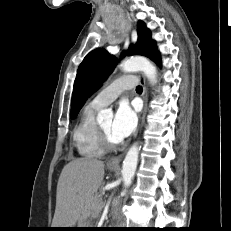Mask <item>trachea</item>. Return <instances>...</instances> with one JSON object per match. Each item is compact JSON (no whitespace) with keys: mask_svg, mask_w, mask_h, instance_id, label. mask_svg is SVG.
<instances>
[{"mask_svg":"<svg viewBox=\"0 0 231 231\" xmlns=\"http://www.w3.org/2000/svg\"><path fill=\"white\" fill-rule=\"evenodd\" d=\"M136 91L142 92V86H137V87H136Z\"/></svg>","mask_w":231,"mask_h":231,"instance_id":"obj_1","label":"trachea"}]
</instances>
